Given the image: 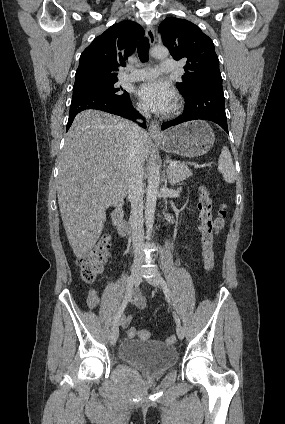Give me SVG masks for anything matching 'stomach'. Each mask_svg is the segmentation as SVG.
<instances>
[{"mask_svg":"<svg viewBox=\"0 0 285 424\" xmlns=\"http://www.w3.org/2000/svg\"><path fill=\"white\" fill-rule=\"evenodd\" d=\"M158 141L166 152L195 158L206 154L211 149L215 135L205 121H191L173 127Z\"/></svg>","mask_w":285,"mask_h":424,"instance_id":"0dacf381","label":"stomach"}]
</instances>
